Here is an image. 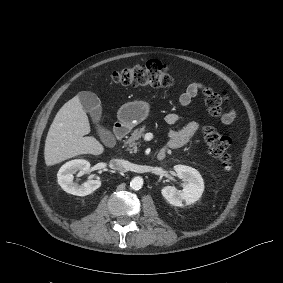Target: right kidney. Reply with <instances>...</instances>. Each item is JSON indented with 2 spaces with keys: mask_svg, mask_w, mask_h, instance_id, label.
<instances>
[{
  "mask_svg": "<svg viewBox=\"0 0 283 283\" xmlns=\"http://www.w3.org/2000/svg\"><path fill=\"white\" fill-rule=\"evenodd\" d=\"M90 170V163L83 159H75L65 163L58 171V184L61 188L72 195L86 196L94 192L101 186L99 179H89L81 185L73 181L74 173H88Z\"/></svg>",
  "mask_w": 283,
  "mask_h": 283,
  "instance_id": "obj_1",
  "label": "right kidney"
}]
</instances>
